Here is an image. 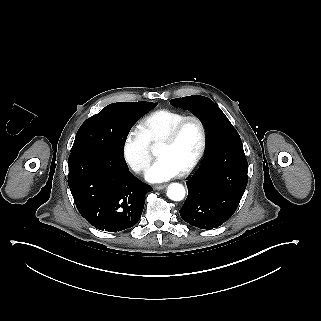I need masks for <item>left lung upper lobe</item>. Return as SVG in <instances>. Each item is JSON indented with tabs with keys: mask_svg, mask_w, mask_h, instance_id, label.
<instances>
[{
	"mask_svg": "<svg viewBox=\"0 0 321 321\" xmlns=\"http://www.w3.org/2000/svg\"><path fill=\"white\" fill-rule=\"evenodd\" d=\"M170 104L187 109L200 119L207 134L206 152L226 139L239 138L238 132L225 114L207 97L192 95L172 99Z\"/></svg>",
	"mask_w": 321,
	"mask_h": 321,
	"instance_id": "obj_1",
	"label": "left lung upper lobe"
}]
</instances>
